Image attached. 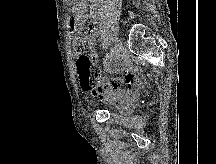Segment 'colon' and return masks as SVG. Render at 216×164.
Returning a JSON list of instances; mask_svg holds the SVG:
<instances>
[{
    "label": "colon",
    "instance_id": "5ec220e1",
    "mask_svg": "<svg viewBox=\"0 0 216 164\" xmlns=\"http://www.w3.org/2000/svg\"><path fill=\"white\" fill-rule=\"evenodd\" d=\"M84 43L81 39L74 40V49L78 53L84 50ZM80 85L86 91L95 90L102 81V75L94 65L92 58L88 55H80L76 62Z\"/></svg>",
    "mask_w": 216,
    "mask_h": 164
}]
</instances>
